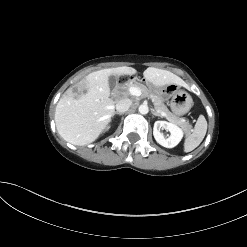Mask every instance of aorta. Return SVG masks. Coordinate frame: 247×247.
Here are the masks:
<instances>
[{
    "label": "aorta",
    "mask_w": 247,
    "mask_h": 247,
    "mask_svg": "<svg viewBox=\"0 0 247 247\" xmlns=\"http://www.w3.org/2000/svg\"><path fill=\"white\" fill-rule=\"evenodd\" d=\"M138 110H139L140 114H143V115H145L149 112L148 105H146V104H141L139 106Z\"/></svg>",
    "instance_id": "obj_1"
}]
</instances>
